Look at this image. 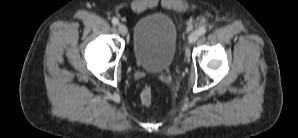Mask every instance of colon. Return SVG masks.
Here are the masks:
<instances>
[{"instance_id": "5ec220e1", "label": "colon", "mask_w": 298, "mask_h": 138, "mask_svg": "<svg viewBox=\"0 0 298 138\" xmlns=\"http://www.w3.org/2000/svg\"><path fill=\"white\" fill-rule=\"evenodd\" d=\"M140 97L143 104L150 105L153 102V90L150 87H145Z\"/></svg>"}]
</instances>
